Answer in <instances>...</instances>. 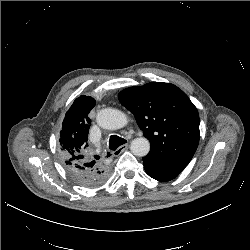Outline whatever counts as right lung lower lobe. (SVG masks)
<instances>
[{"label":"right lung lower lobe","instance_id":"right-lung-lower-lobe-1","mask_svg":"<svg viewBox=\"0 0 250 250\" xmlns=\"http://www.w3.org/2000/svg\"><path fill=\"white\" fill-rule=\"evenodd\" d=\"M67 169V168H66ZM68 173L73 177V179L80 185L84 187H96L103 184L109 177L110 172L99 171H76L72 169H67Z\"/></svg>","mask_w":250,"mask_h":250}]
</instances>
